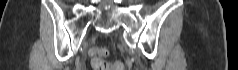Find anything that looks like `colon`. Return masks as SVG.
<instances>
[{"label": "colon", "mask_w": 238, "mask_h": 70, "mask_svg": "<svg viewBox=\"0 0 238 70\" xmlns=\"http://www.w3.org/2000/svg\"><path fill=\"white\" fill-rule=\"evenodd\" d=\"M93 55L92 66L95 70H123V65L120 62L107 63L104 57L108 55V50L105 47H96L91 50Z\"/></svg>", "instance_id": "obj_1"}]
</instances>
